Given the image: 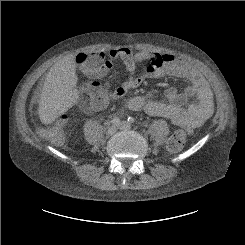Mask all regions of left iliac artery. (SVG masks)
<instances>
[{
	"instance_id": "obj_1",
	"label": "left iliac artery",
	"mask_w": 245,
	"mask_h": 245,
	"mask_svg": "<svg viewBox=\"0 0 245 245\" xmlns=\"http://www.w3.org/2000/svg\"><path fill=\"white\" fill-rule=\"evenodd\" d=\"M127 121H128L129 123H134V122H135V118L132 117V116H129L128 119H127Z\"/></svg>"
}]
</instances>
